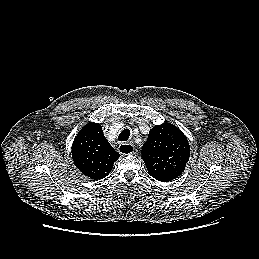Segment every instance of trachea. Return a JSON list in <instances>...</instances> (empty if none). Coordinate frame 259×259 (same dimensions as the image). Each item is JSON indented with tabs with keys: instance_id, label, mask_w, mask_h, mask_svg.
Instances as JSON below:
<instances>
[{
	"instance_id": "1",
	"label": "trachea",
	"mask_w": 259,
	"mask_h": 259,
	"mask_svg": "<svg viewBox=\"0 0 259 259\" xmlns=\"http://www.w3.org/2000/svg\"><path fill=\"white\" fill-rule=\"evenodd\" d=\"M129 137H130V130L126 128L121 131V133L118 136V140L121 142L127 141Z\"/></svg>"
}]
</instances>
